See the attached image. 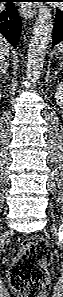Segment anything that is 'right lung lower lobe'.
<instances>
[{
  "label": "right lung lower lobe",
  "mask_w": 63,
  "mask_h": 297,
  "mask_svg": "<svg viewBox=\"0 0 63 297\" xmlns=\"http://www.w3.org/2000/svg\"><path fill=\"white\" fill-rule=\"evenodd\" d=\"M7 2L6 9L0 12V33L16 48L22 24L12 0Z\"/></svg>",
  "instance_id": "98d812e1"
}]
</instances>
